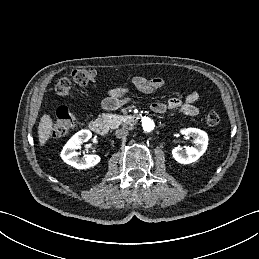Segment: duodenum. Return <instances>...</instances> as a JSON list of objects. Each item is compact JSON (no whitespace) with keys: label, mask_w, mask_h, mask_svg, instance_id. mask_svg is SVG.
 Masks as SVG:
<instances>
[{"label":"duodenum","mask_w":259,"mask_h":259,"mask_svg":"<svg viewBox=\"0 0 259 259\" xmlns=\"http://www.w3.org/2000/svg\"><path fill=\"white\" fill-rule=\"evenodd\" d=\"M142 119V116H135V117H132L129 119L128 121V125L131 127V126H134L136 125L137 123H139ZM90 129L100 135V136H105L107 135L108 133V126L107 124L105 123L104 120L102 119H93L91 122H90Z\"/></svg>","instance_id":"1"}]
</instances>
